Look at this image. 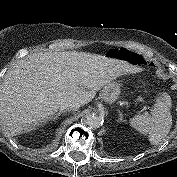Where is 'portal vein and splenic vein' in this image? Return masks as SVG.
<instances>
[{"instance_id":"18ae733b","label":"portal vein and splenic vein","mask_w":177,"mask_h":177,"mask_svg":"<svg viewBox=\"0 0 177 177\" xmlns=\"http://www.w3.org/2000/svg\"><path fill=\"white\" fill-rule=\"evenodd\" d=\"M142 110L145 111V113H146L147 115L149 114L148 111H147V107H146V106H144V107L142 108Z\"/></svg>"}]
</instances>
